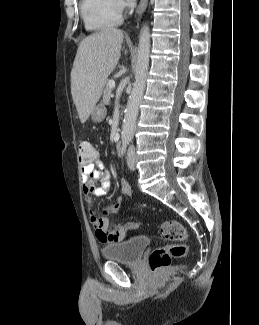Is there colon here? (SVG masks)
<instances>
[{"instance_id":"1","label":"colon","mask_w":259,"mask_h":325,"mask_svg":"<svg viewBox=\"0 0 259 325\" xmlns=\"http://www.w3.org/2000/svg\"><path fill=\"white\" fill-rule=\"evenodd\" d=\"M96 154V150L88 140H83L78 146V157L80 162H91ZM121 203L117 202L113 206V210L118 212ZM136 223H128L118 228L135 229ZM162 236L171 241V244L163 245L155 248L149 256V266L152 271H158L170 264L172 258H180L186 255L188 251V233L186 228L176 220H168L162 223L160 228Z\"/></svg>"}]
</instances>
